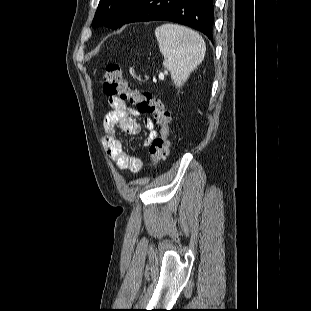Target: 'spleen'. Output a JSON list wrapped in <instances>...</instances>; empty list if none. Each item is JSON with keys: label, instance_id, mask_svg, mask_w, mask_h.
Instances as JSON below:
<instances>
[{"label": "spleen", "instance_id": "obj_1", "mask_svg": "<svg viewBox=\"0 0 311 311\" xmlns=\"http://www.w3.org/2000/svg\"><path fill=\"white\" fill-rule=\"evenodd\" d=\"M155 35L164 56L163 65L170 71L174 84L181 87L203 61L205 42L196 31L172 23L157 27Z\"/></svg>", "mask_w": 311, "mask_h": 311}]
</instances>
